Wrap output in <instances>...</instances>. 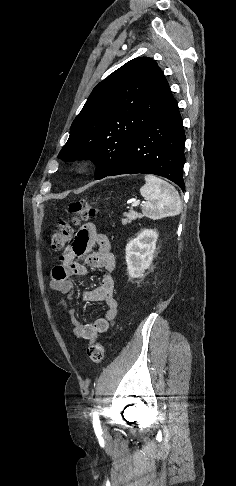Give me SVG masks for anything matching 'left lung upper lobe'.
Masks as SVG:
<instances>
[{
  "label": "left lung upper lobe",
  "mask_w": 236,
  "mask_h": 486,
  "mask_svg": "<svg viewBox=\"0 0 236 486\" xmlns=\"http://www.w3.org/2000/svg\"><path fill=\"white\" fill-rule=\"evenodd\" d=\"M172 97L153 59L130 60L93 89L58 157L66 161L91 159L97 165L95 179L105 177L134 137Z\"/></svg>",
  "instance_id": "1"
}]
</instances>
